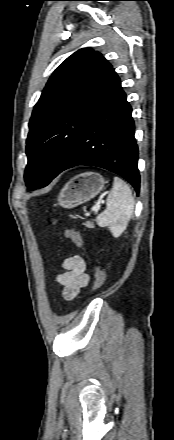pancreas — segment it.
I'll return each instance as SVG.
<instances>
[{
  "label": "pancreas",
  "instance_id": "obj_1",
  "mask_svg": "<svg viewBox=\"0 0 174 440\" xmlns=\"http://www.w3.org/2000/svg\"><path fill=\"white\" fill-rule=\"evenodd\" d=\"M84 225H85L87 228H94V223L91 222V221H87L86 223H84Z\"/></svg>",
  "mask_w": 174,
  "mask_h": 440
}]
</instances>
